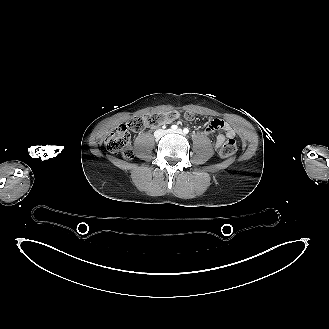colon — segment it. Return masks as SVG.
<instances>
[{
    "label": "colon",
    "instance_id": "colon-1",
    "mask_svg": "<svg viewBox=\"0 0 329 329\" xmlns=\"http://www.w3.org/2000/svg\"><path fill=\"white\" fill-rule=\"evenodd\" d=\"M179 117L176 111L150 113L133 116L127 123L119 125L116 130L110 133L105 139V146L113 154L120 155L122 158L129 160L133 157L130 131L141 132L149 127H156L166 122H171ZM187 120L194 118L193 114L185 115ZM237 149L235 139H227L220 147L219 153L222 157L232 156Z\"/></svg>",
    "mask_w": 329,
    "mask_h": 329
}]
</instances>
